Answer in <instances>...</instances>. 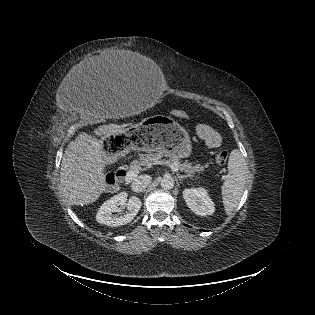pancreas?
Here are the masks:
<instances>
[{"label":"pancreas","mask_w":315,"mask_h":315,"mask_svg":"<svg viewBox=\"0 0 315 315\" xmlns=\"http://www.w3.org/2000/svg\"><path fill=\"white\" fill-rule=\"evenodd\" d=\"M165 155L166 154L160 153V152L143 155L140 158V161H134L133 164L137 166L149 165L153 162H156L158 159H160L161 157ZM171 161L174 165H176L179 168L180 171L187 173L189 176H192V174L196 172L199 173L200 171L204 170L205 168L209 166V163H205L204 165L196 164L193 166L192 163L188 161L181 162L180 159L175 158V157L171 158Z\"/></svg>","instance_id":"pancreas-1"}]
</instances>
